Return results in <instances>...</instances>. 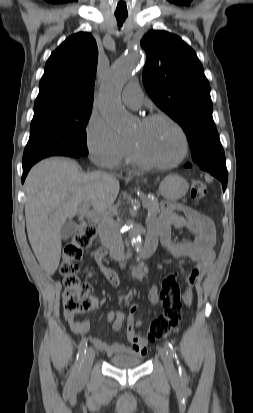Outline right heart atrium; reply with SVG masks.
<instances>
[{
	"mask_svg": "<svg viewBox=\"0 0 253 413\" xmlns=\"http://www.w3.org/2000/svg\"><path fill=\"white\" fill-rule=\"evenodd\" d=\"M90 159L101 167H115L124 158L129 143L100 114L92 113L86 126Z\"/></svg>",
	"mask_w": 253,
	"mask_h": 413,
	"instance_id": "d8ad5b80",
	"label": "right heart atrium"
}]
</instances>
